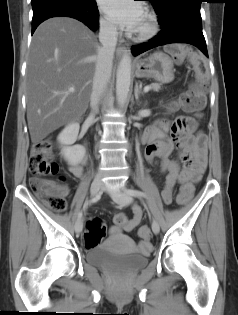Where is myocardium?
<instances>
[{
    "instance_id": "obj_1",
    "label": "myocardium",
    "mask_w": 238,
    "mask_h": 315,
    "mask_svg": "<svg viewBox=\"0 0 238 315\" xmlns=\"http://www.w3.org/2000/svg\"><path fill=\"white\" fill-rule=\"evenodd\" d=\"M145 15L148 21L147 26L139 32L137 31L134 32L133 37L135 40L145 41L151 39L158 32V22L155 14L150 11H147Z\"/></svg>"
}]
</instances>
